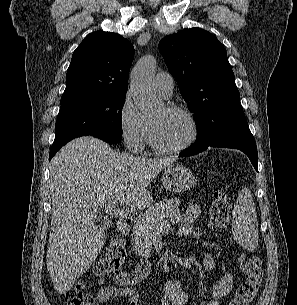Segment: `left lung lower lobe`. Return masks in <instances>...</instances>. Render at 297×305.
Masks as SVG:
<instances>
[{"label":"left lung lower lobe","mask_w":297,"mask_h":305,"mask_svg":"<svg viewBox=\"0 0 297 305\" xmlns=\"http://www.w3.org/2000/svg\"><path fill=\"white\" fill-rule=\"evenodd\" d=\"M208 147H224L238 149L244 152L250 159L255 170L258 171V153L255 139L249 129L246 117H241L223 128L214 138L203 137L201 142L190 146L179 155H196Z\"/></svg>","instance_id":"1"}]
</instances>
